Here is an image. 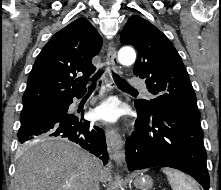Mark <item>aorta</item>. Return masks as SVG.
I'll return each mask as SVG.
<instances>
[{
	"label": "aorta",
	"mask_w": 221,
	"mask_h": 190,
	"mask_svg": "<svg viewBox=\"0 0 221 190\" xmlns=\"http://www.w3.org/2000/svg\"><path fill=\"white\" fill-rule=\"evenodd\" d=\"M118 60L122 65H132L136 60V53L131 47H122L118 53Z\"/></svg>",
	"instance_id": "1"
}]
</instances>
